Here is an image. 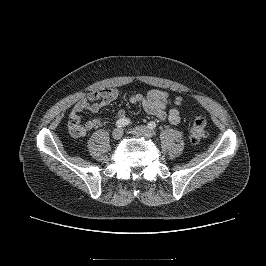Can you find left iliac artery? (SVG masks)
Listing matches in <instances>:
<instances>
[{
	"instance_id": "obj_1",
	"label": "left iliac artery",
	"mask_w": 266,
	"mask_h": 266,
	"mask_svg": "<svg viewBox=\"0 0 266 266\" xmlns=\"http://www.w3.org/2000/svg\"><path fill=\"white\" fill-rule=\"evenodd\" d=\"M148 128L155 129L156 128V123L154 121L149 122L148 123Z\"/></svg>"
}]
</instances>
